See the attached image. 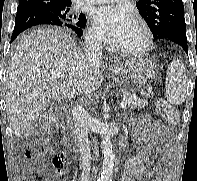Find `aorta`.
<instances>
[{
	"label": "aorta",
	"instance_id": "aorta-1",
	"mask_svg": "<svg viewBox=\"0 0 197 181\" xmlns=\"http://www.w3.org/2000/svg\"><path fill=\"white\" fill-rule=\"evenodd\" d=\"M102 153H103V162H102V172L98 181H109L114 169L115 155L113 152V146L111 143V138L109 135L102 136Z\"/></svg>",
	"mask_w": 197,
	"mask_h": 181
}]
</instances>
